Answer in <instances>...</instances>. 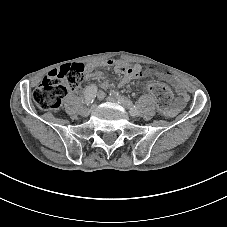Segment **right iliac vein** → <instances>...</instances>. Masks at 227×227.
Returning <instances> with one entry per match:
<instances>
[{
    "mask_svg": "<svg viewBox=\"0 0 227 227\" xmlns=\"http://www.w3.org/2000/svg\"><path fill=\"white\" fill-rule=\"evenodd\" d=\"M92 111V108L91 107H88V108H86L85 110H84V115H89L90 114V112Z\"/></svg>",
    "mask_w": 227,
    "mask_h": 227,
    "instance_id": "1",
    "label": "right iliac vein"
}]
</instances>
